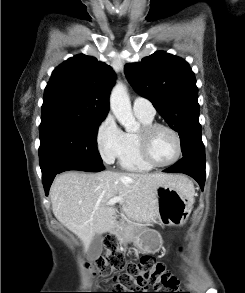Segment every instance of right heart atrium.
<instances>
[{
	"mask_svg": "<svg viewBox=\"0 0 245 293\" xmlns=\"http://www.w3.org/2000/svg\"><path fill=\"white\" fill-rule=\"evenodd\" d=\"M96 144L105 163L111 164L125 147V133L110 115L104 117L96 131Z\"/></svg>",
	"mask_w": 245,
	"mask_h": 293,
	"instance_id": "d8ad5b80",
	"label": "right heart atrium"
}]
</instances>
